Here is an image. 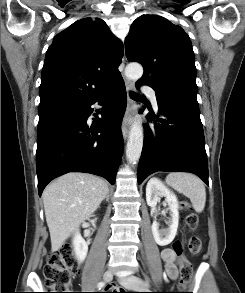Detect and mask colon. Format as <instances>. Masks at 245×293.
I'll return each instance as SVG.
<instances>
[{"label": "colon", "instance_id": "obj_1", "mask_svg": "<svg viewBox=\"0 0 245 293\" xmlns=\"http://www.w3.org/2000/svg\"><path fill=\"white\" fill-rule=\"evenodd\" d=\"M181 208L186 212L185 221L187 226L195 230L199 225L197 214L190 211V205L187 202L181 204ZM202 246L201 239L193 235L189 239V251L196 255L200 252ZM174 253L181 262L180 266V283L187 284L192 278V267L184 256V248L182 244L176 243L173 247ZM43 273L46 285L58 292L55 293H71V284L78 273V262L73 249L65 246L60 250L51 254L43 266Z\"/></svg>", "mask_w": 245, "mask_h": 293}]
</instances>
